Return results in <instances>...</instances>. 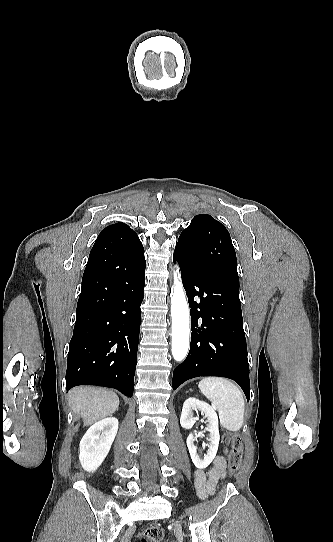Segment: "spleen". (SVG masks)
<instances>
[{"label":"spleen","mask_w":333,"mask_h":542,"mask_svg":"<svg viewBox=\"0 0 333 542\" xmlns=\"http://www.w3.org/2000/svg\"><path fill=\"white\" fill-rule=\"evenodd\" d=\"M200 392L215 404L222 428L239 432L244 422V396L232 382L225 378H203L199 382Z\"/></svg>","instance_id":"1"}]
</instances>
